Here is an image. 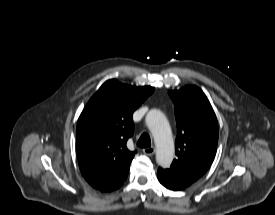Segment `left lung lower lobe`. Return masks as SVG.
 Returning <instances> with one entry per match:
<instances>
[{"mask_svg":"<svg viewBox=\"0 0 275 215\" xmlns=\"http://www.w3.org/2000/svg\"><path fill=\"white\" fill-rule=\"evenodd\" d=\"M157 177L159 182L170 190H182L191 185L189 182L174 178L166 170L161 168L157 171Z\"/></svg>","mask_w":275,"mask_h":215,"instance_id":"0a47b994","label":"left lung lower lobe"}]
</instances>
